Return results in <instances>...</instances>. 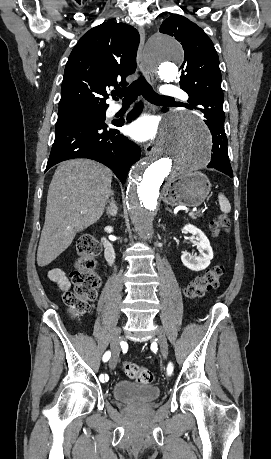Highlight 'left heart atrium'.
<instances>
[{"instance_id":"left-heart-atrium-1","label":"left heart atrium","mask_w":271,"mask_h":459,"mask_svg":"<svg viewBox=\"0 0 271 459\" xmlns=\"http://www.w3.org/2000/svg\"><path fill=\"white\" fill-rule=\"evenodd\" d=\"M158 119L153 116H143L135 120L129 127L131 137L139 142L154 140L158 133Z\"/></svg>"}]
</instances>
